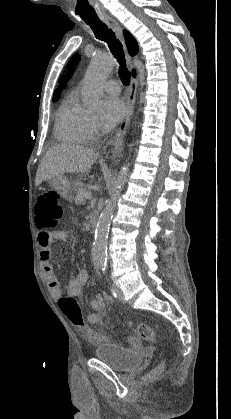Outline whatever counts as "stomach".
<instances>
[{
    "instance_id": "0dacf381",
    "label": "stomach",
    "mask_w": 231,
    "mask_h": 419,
    "mask_svg": "<svg viewBox=\"0 0 231 419\" xmlns=\"http://www.w3.org/2000/svg\"><path fill=\"white\" fill-rule=\"evenodd\" d=\"M48 184L67 200H72L75 193V186L65 175H59L47 180Z\"/></svg>"
}]
</instances>
